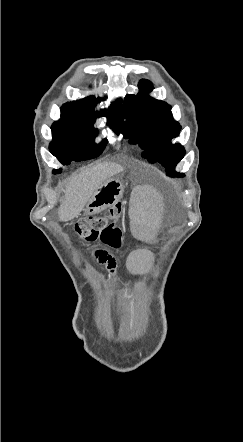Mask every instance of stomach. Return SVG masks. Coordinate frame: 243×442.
I'll use <instances>...</instances> for the list:
<instances>
[{"label": "stomach", "mask_w": 243, "mask_h": 442, "mask_svg": "<svg viewBox=\"0 0 243 442\" xmlns=\"http://www.w3.org/2000/svg\"><path fill=\"white\" fill-rule=\"evenodd\" d=\"M122 182L116 178H109L95 191L87 202L84 212L87 215L98 214L104 209L114 205L123 195Z\"/></svg>", "instance_id": "1"}]
</instances>
